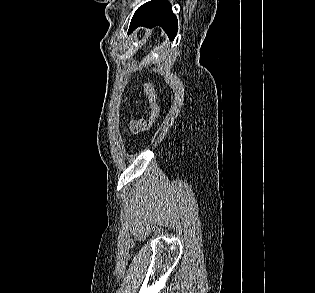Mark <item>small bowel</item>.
<instances>
[{"mask_svg": "<svg viewBox=\"0 0 315 293\" xmlns=\"http://www.w3.org/2000/svg\"><path fill=\"white\" fill-rule=\"evenodd\" d=\"M130 130L132 133L137 134L146 128V122L144 120H133L130 122Z\"/></svg>", "mask_w": 315, "mask_h": 293, "instance_id": "c3829d8e", "label": "small bowel"}]
</instances>
